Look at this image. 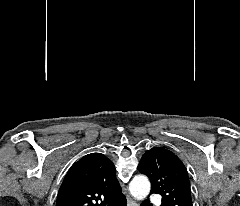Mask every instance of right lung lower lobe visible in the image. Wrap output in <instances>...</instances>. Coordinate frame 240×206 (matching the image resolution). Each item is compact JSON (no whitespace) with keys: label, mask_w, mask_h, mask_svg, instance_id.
Returning <instances> with one entry per match:
<instances>
[{"label":"right lung lower lobe","mask_w":240,"mask_h":206,"mask_svg":"<svg viewBox=\"0 0 240 206\" xmlns=\"http://www.w3.org/2000/svg\"><path fill=\"white\" fill-rule=\"evenodd\" d=\"M107 205L108 206H126V198L121 193L119 196H117L116 198L112 199Z\"/></svg>","instance_id":"right-lung-lower-lobe-1"}]
</instances>
